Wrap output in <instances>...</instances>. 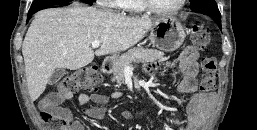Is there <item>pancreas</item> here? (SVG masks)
Instances as JSON below:
<instances>
[{
	"label": "pancreas",
	"mask_w": 257,
	"mask_h": 130,
	"mask_svg": "<svg viewBox=\"0 0 257 130\" xmlns=\"http://www.w3.org/2000/svg\"><path fill=\"white\" fill-rule=\"evenodd\" d=\"M164 53L154 49L147 48H133L128 52L116 59L113 66V75L112 81H116L118 84L124 82V68L125 66L133 67L132 63H143V64H152L162 58Z\"/></svg>",
	"instance_id": "cf45deb5"
}]
</instances>
